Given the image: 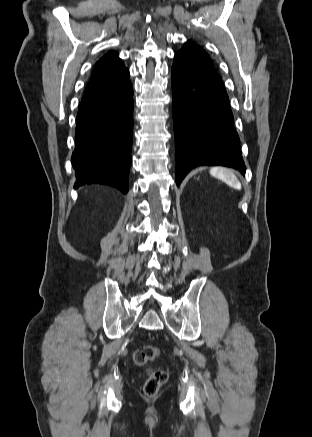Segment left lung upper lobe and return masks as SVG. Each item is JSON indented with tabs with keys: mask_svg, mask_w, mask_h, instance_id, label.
<instances>
[{
	"mask_svg": "<svg viewBox=\"0 0 312 437\" xmlns=\"http://www.w3.org/2000/svg\"><path fill=\"white\" fill-rule=\"evenodd\" d=\"M181 52H189L193 56L203 60L207 64L213 66L212 60L209 58L208 54L199 47L196 43L188 41L185 43L184 47L180 50Z\"/></svg>",
	"mask_w": 312,
	"mask_h": 437,
	"instance_id": "left-lung-upper-lobe-1",
	"label": "left lung upper lobe"
}]
</instances>
